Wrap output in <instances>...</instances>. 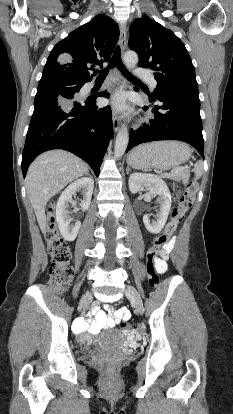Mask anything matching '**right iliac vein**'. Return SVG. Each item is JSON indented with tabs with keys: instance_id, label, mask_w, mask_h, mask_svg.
Returning <instances> with one entry per match:
<instances>
[{
	"instance_id": "obj_1",
	"label": "right iliac vein",
	"mask_w": 233,
	"mask_h": 414,
	"mask_svg": "<svg viewBox=\"0 0 233 414\" xmlns=\"http://www.w3.org/2000/svg\"><path fill=\"white\" fill-rule=\"evenodd\" d=\"M92 301V295L90 292H87L86 294L83 295L81 301H80V307L84 308L85 306H87L90 302Z\"/></svg>"
}]
</instances>
